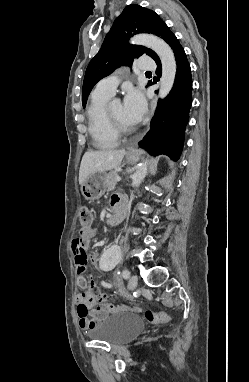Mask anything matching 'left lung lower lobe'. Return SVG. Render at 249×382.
<instances>
[{"mask_svg": "<svg viewBox=\"0 0 249 382\" xmlns=\"http://www.w3.org/2000/svg\"><path fill=\"white\" fill-rule=\"evenodd\" d=\"M177 64L175 82L164 100H159L149 132L139 142L152 155L165 154L177 160L181 154L185 127L192 104L191 69L186 54L176 37L170 43ZM161 76V62L156 61Z\"/></svg>", "mask_w": 249, "mask_h": 382, "instance_id": "obj_1", "label": "left lung lower lobe"}]
</instances>
